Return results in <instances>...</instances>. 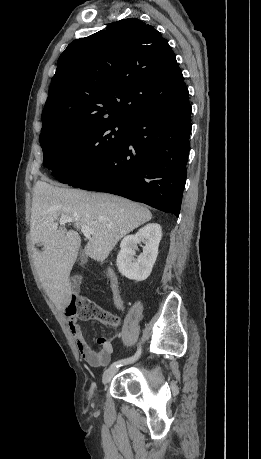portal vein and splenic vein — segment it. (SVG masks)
I'll list each match as a JSON object with an SVG mask.
<instances>
[{"label": "portal vein and splenic vein", "mask_w": 261, "mask_h": 459, "mask_svg": "<svg viewBox=\"0 0 261 459\" xmlns=\"http://www.w3.org/2000/svg\"><path fill=\"white\" fill-rule=\"evenodd\" d=\"M67 222H74V219L68 215H62L59 219V224L60 225H64L65 223ZM58 227V223L57 224H54L53 228H57ZM81 231L82 233L84 234V236L87 238V239H90L91 238V235L94 233V231L92 229H90L88 226L86 225H82L81 226Z\"/></svg>", "instance_id": "18ae733b"}]
</instances>
